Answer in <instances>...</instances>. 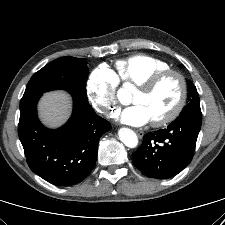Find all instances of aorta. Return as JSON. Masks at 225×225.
I'll use <instances>...</instances> for the list:
<instances>
[{"label":"aorta","instance_id":"762f6f07","mask_svg":"<svg viewBox=\"0 0 225 225\" xmlns=\"http://www.w3.org/2000/svg\"><path fill=\"white\" fill-rule=\"evenodd\" d=\"M131 86L125 84L123 88L118 91V99L123 101V98L131 96ZM119 139L125 146L135 148L138 145V137L134 131L128 128H121L118 131Z\"/></svg>","mask_w":225,"mask_h":225}]
</instances>
